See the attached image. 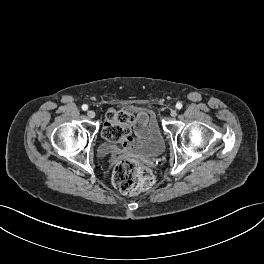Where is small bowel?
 <instances>
[{"instance_id": "c3829d8e", "label": "small bowel", "mask_w": 264, "mask_h": 264, "mask_svg": "<svg viewBox=\"0 0 264 264\" xmlns=\"http://www.w3.org/2000/svg\"><path fill=\"white\" fill-rule=\"evenodd\" d=\"M149 116L146 112L140 111L136 116H133L132 123L130 125V130L126 137L120 141L123 148L128 149L134 144V138L131 135L133 130L135 136L140 139L143 138L148 131ZM108 125V120L106 119L104 126Z\"/></svg>"}]
</instances>
